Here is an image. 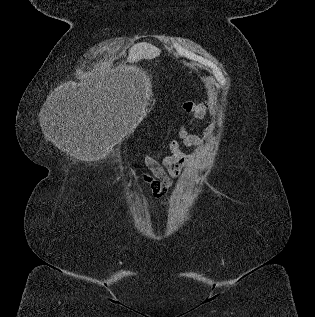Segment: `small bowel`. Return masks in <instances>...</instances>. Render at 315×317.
<instances>
[{"label":"small bowel","mask_w":315,"mask_h":317,"mask_svg":"<svg viewBox=\"0 0 315 317\" xmlns=\"http://www.w3.org/2000/svg\"><path fill=\"white\" fill-rule=\"evenodd\" d=\"M212 108L210 103H192L187 102L183 105V110L192 115L191 123L202 119L206 112ZM217 129L215 123L210 124L202 136L195 135L184 126H178L179 141L170 139L164 142V147L170 151V155L158 161L152 156L144 158V164L150 173H142V180L151 188L154 198L167 203L170 198L167 197V191L172 185L173 179L178 177L182 171L189 168L191 157L181 149L185 147L199 146L207 143L213 137Z\"/></svg>","instance_id":"obj_1"}]
</instances>
